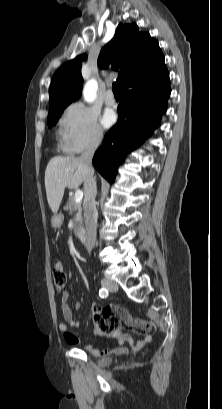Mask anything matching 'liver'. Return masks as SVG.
Listing matches in <instances>:
<instances>
[{
  "mask_svg": "<svg viewBox=\"0 0 222 409\" xmlns=\"http://www.w3.org/2000/svg\"><path fill=\"white\" fill-rule=\"evenodd\" d=\"M87 176V169L78 157L55 156L45 171V189L48 204L57 213L66 187L78 189Z\"/></svg>",
  "mask_w": 222,
  "mask_h": 409,
  "instance_id": "obj_1",
  "label": "liver"
}]
</instances>
